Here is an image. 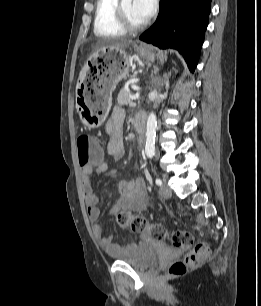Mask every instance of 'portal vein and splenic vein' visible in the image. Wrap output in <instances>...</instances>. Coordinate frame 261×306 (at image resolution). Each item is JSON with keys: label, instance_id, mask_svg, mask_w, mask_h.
<instances>
[{"label": "portal vein and splenic vein", "instance_id": "1", "mask_svg": "<svg viewBox=\"0 0 261 306\" xmlns=\"http://www.w3.org/2000/svg\"><path fill=\"white\" fill-rule=\"evenodd\" d=\"M138 97H139V93L137 92L135 95L131 96L130 98H131V100H135V99H137ZM130 105L133 106L134 103H133V102H130Z\"/></svg>", "mask_w": 261, "mask_h": 306}]
</instances>
